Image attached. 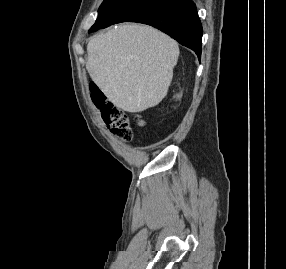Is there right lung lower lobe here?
<instances>
[{"instance_id":"98d812e1","label":"right lung lower lobe","mask_w":286,"mask_h":269,"mask_svg":"<svg viewBox=\"0 0 286 269\" xmlns=\"http://www.w3.org/2000/svg\"><path fill=\"white\" fill-rule=\"evenodd\" d=\"M127 22L156 27L192 49L200 60L203 30L192 0H159Z\"/></svg>"}]
</instances>
